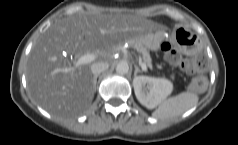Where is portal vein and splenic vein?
<instances>
[{"mask_svg": "<svg viewBox=\"0 0 238 145\" xmlns=\"http://www.w3.org/2000/svg\"><path fill=\"white\" fill-rule=\"evenodd\" d=\"M96 59V56L94 54H85L80 56L77 61L75 62V67L84 65V64H88L93 62ZM140 66L142 68L143 71H147V66L145 63L141 62Z\"/></svg>", "mask_w": 238, "mask_h": 145, "instance_id": "1", "label": "portal vein and splenic vein"}]
</instances>
